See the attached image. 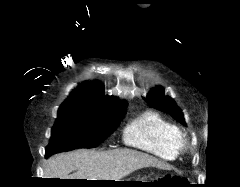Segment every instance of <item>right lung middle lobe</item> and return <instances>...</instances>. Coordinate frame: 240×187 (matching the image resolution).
<instances>
[{"instance_id":"obj_1","label":"right lung middle lobe","mask_w":240,"mask_h":187,"mask_svg":"<svg viewBox=\"0 0 240 187\" xmlns=\"http://www.w3.org/2000/svg\"><path fill=\"white\" fill-rule=\"evenodd\" d=\"M125 112L126 109L110 113L59 109L45 156L96 147L117 127Z\"/></svg>"}]
</instances>
